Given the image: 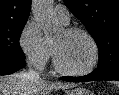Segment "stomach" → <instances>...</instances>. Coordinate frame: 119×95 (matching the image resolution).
Segmentation results:
<instances>
[{
  "label": "stomach",
  "mask_w": 119,
  "mask_h": 95,
  "mask_svg": "<svg viewBox=\"0 0 119 95\" xmlns=\"http://www.w3.org/2000/svg\"><path fill=\"white\" fill-rule=\"evenodd\" d=\"M65 95H93V93L85 88H75L67 91Z\"/></svg>",
  "instance_id": "1"
}]
</instances>
